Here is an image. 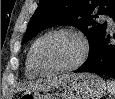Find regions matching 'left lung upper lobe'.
Listing matches in <instances>:
<instances>
[{"label":"left lung upper lobe","mask_w":115,"mask_h":99,"mask_svg":"<svg viewBox=\"0 0 115 99\" xmlns=\"http://www.w3.org/2000/svg\"><path fill=\"white\" fill-rule=\"evenodd\" d=\"M100 14L115 15V0H40L29 21L22 44L40 31L56 25H72L88 38L89 54L99 45L106 33V22H96Z\"/></svg>","instance_id":"5c2ea615"}]
</instances>
